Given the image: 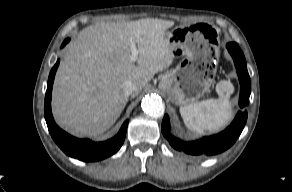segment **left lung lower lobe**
<instances>
[{
    "mask_svg": "<svg viewBox=\"0 0 292 192\" xmlns=\"http://www.w3.org/2000/svg\"><path fill=\"white\" fill-rule=\"evenodd\" d=\"M227 49L233 57L240 80L241 89L239 105L242 108L249 104V96L251 92V82L247 71L246 60L237 43H228ZM246 120L247 112H238L234 121L226 130L220 134L211 137H204L203 139L193 142H184L170 134L169 118L167 115L164 116L161 129L165 138L176 150L195 156H209L221 153L232 146L241 134Z\"/></svg>",
    "mask_w": 292,
    "mask_h": 192,
    "instance_id": "0a47b994",
    "label": "left lung lower lobe"
}]
</instances>
